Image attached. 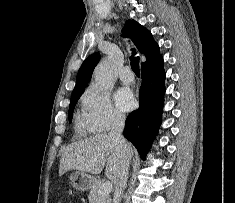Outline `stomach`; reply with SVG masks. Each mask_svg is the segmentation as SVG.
<instances>
[{
	"label": "stomach",
	"mask_w": 235,
	"mask_h": 203,
	"mask_svg": "<svg viewBox=\"0 0 235 203\" xmlns=\"http://www.w3.org/2000/svg\"><path fill=\"white\" fill-rule=\"evenodd\" d=\"M70 183L77 191H87L95 183V178L85 172L77 171L70 175Z\"/></svg>",
	"instance_id": "stomach-1"
}]
</instances>
